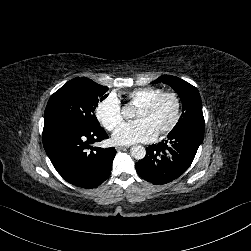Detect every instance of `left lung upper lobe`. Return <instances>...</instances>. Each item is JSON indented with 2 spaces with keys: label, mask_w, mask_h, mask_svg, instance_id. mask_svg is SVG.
Listing matches in <instances>:
<instances>
[{
  "label": "left lung upper lobe",
  "mask_w": 251,
  "mask_h": 251,
  "mask_svg": "<svg viewBox=\"0 0 251 251\" xmlns=\"http://www.w3.org/2000/svg\"><path fill=\"white\" fill-rule=\"evenodd\" d=\"M160 82L170 85L178 93L183 105L182 116L171 132L182 129L204 132L202 102L197 88L170 75L160 76L152 83Z\"/></svg>",
  "instance_id": "1"
}]
</instances>
